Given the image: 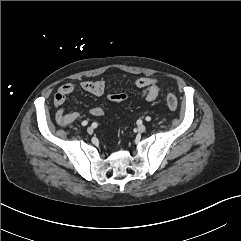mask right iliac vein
<instances>
[{
    "label": "right iliac vein",
    "mask_w": 241,
    "mask_h": 241,
    "mask_svg": "<svg viewBox=\"0 0 241 241\" xmlns=\"http://www.w3.org/2000/svg\"><path fill=\"white\" fill-rule=\"evenodd\" d=\"M93 131H94V130H93V128H92V127H88V128H87V132H88L89 134H92V133H93Z\"/></svg>",
    "instance_id": "1"
}]
</instances>
